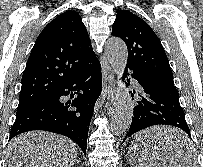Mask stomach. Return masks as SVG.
<instances>
[{
    "mask_svg": "<svg viewBox=\"0 0 203 167\" xmlns=\"http://www.w3.org/2000/svg\"><path fill=\"white\" fill-rule=\"evenodd\" d=\"M137 145H139V143H136ZM138 153V155H139V151L138 150H136L135 151V155ZM129 155H130V152H129Z\"/></svg>",
    "mask_w": 203,
    "mask_h": 167,
    "instance_id": "obj_1",
    "label": "stomach"
}]
</instances>
